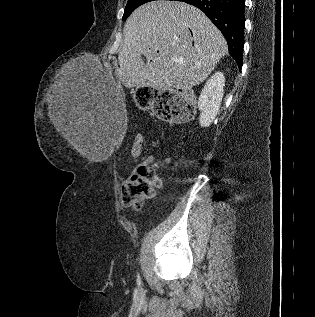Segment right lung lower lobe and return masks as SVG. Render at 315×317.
I'll use <instances>...</instances> for the list:
<instances>
[{"label": "right lung lower lobe", "mask_w": 315, "mask_h": 317, "mask_svg": "<svg viewBox=\"0 0 315 317\" xmlns=\"http://www.w3.org/2000/svg\"><path fill=\"white\" fill-rule=\"evenodd\" d=\"M202 10L222 32L228 43L229 54L239 69L243 64L245 0H177Z\"/></svg>", "instance_id": "98d812e1"}]
</instances>
